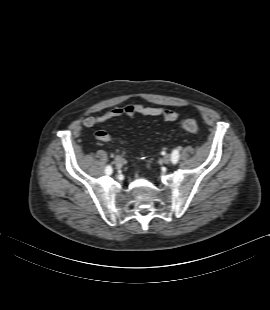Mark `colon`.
I'll return each mask as SVG.
<instances>
[{
  "label": "colon",
  "mask_w": 270,
  "mask_h": 310,
  "mask_svg": "<svg viewBox=\"0 0 270 310\" xmlns=\"http://www.w3.org/2000/svg\"><path fill=\"white\" fill-rule=\"evenodd\" d=\"M181 126L186 133L197 134L199 132L198 123L194 119H184Z\"/></svg>",
  "instance_id": "1"
}]
</instances>
